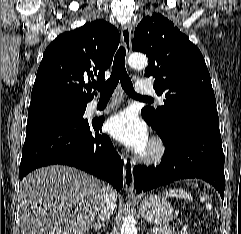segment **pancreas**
<instances>
[{"instance_id": "cf45deb5", "label": "pancreas", "mask_w": 241, "mask_h": 234, "mask_svg": "<svg viewBox=\"0 0 241 234\" xmlns=\"http://www.w3.org/2000/svg\"><path fill=\"white\" fill-rule=\"evenodd\" d=\"M159 234H179V233H176L174 230H172L170 228H166L163 230L162 233H159Z\"/></svg>"}]
</instances>
